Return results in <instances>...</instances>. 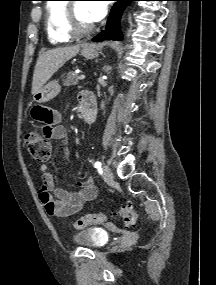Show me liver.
I'll return each instance as SVG.
<instances>
[{
    "label": "liver",
    "mask_w": 216,
    "mask_h": 285,
    "mask_svg": "<svg viewBox=\"0 0 216 285\" xmlns=\"http://www.w3.org/2000/svg\"><path fill=\"white\" fill-rule=\"evenodd\" d=\"M80 47L81 45L58 47L40 54L33 74L32 94L37 93L66 61L75 57Z\"/></svg>",
    "instance_id": "6515ba94"
}]
</instances>
